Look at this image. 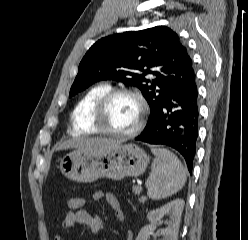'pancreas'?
I'll use <instances>...</instances> for the list:
<instances>
[{"mask_svg":"<svg viewBox=\"0 0 248 240\" xmlns=\"http://www.w3.org/2000/svg\"><path fill=\"white\" fill-rule=\"evenodd\" d=\"M133 191L135 192L136 195H139L141 192V189H138L137 187H133ZM146 200V197L142 196L139 198L140 202H144Z\"/></svg>","mask_w":248,"mask_h":240,"instance_id":"obj_1","label":"pancreas"}]
</instances>
